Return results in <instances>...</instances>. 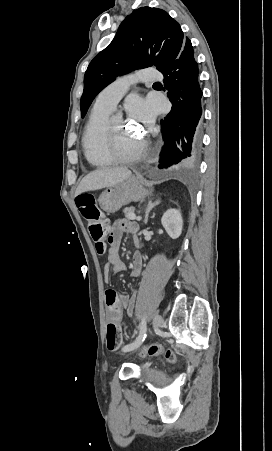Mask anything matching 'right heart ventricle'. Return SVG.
Returning a JSON list of instances; mask_svg holds the SVG:
<instances>
[{
    "mask_svg": "<svg viewBox=\"0 0 272 451\" xmlns=\"http://www.w3.org/2000/svg\"><path fill=\"white\" fill-rule=\"evenodd\" d=\"M136 99L128 98L126 103ZM112 109L95 103L84 132L85 157L94 166L107 165L112 159V145L102 139V130Z\"/></svg>",
    "mask_w": 272,
    "mask_h": 451,
    "instance_id": "1",
    "label": "right heart ventricle"
}]
</instances>
